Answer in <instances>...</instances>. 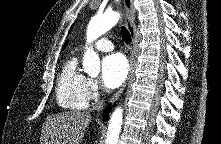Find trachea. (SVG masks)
Here are the masks:
<instances>
[{"instance_id":"trachea-1","label":"trachea","mask_w":221,"mask_h":144,"mask_svg":"<svg viewBox=\"0 0 221 144\" xmlns=\"http://www.w3.org/2000/svg\"><path fill=\"white\" fill-rule=\"evenodd\" d=\"M121 36H122L123 41L126 44H129L131 42L130 33L128 32V30L125 27H122V29H121Z\"/></svg>"}]
</instances>
